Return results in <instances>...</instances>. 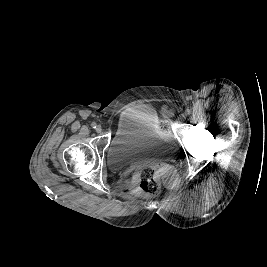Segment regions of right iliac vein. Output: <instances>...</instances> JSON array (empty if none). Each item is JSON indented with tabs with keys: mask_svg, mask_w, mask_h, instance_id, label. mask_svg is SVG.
I'll list each match as a JSON object with an SVG mask.
<instances>
[{
	"mask_svg": "<svg viewBox=\"0 0 267 267\" xmlns=\"http://www.w3.org/2000/svg\"><path fill=\"white\" fill-rule=\"evenodd\" d=\"M96 132L101 133L102 132V127L100 125L96 126Z\"/></svg>",
	"mask_w": 267,
	"mask_h": 267,
	"instance_id": "right-iliac-vein-1",
	"label": "right iliac vein"
}]
</instances>
